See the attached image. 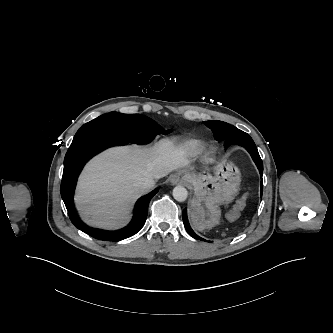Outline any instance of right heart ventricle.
<instances>
[{
  "mask_svg": "<svg viewBox=\"0 0 333 333\" xmlns=\"http://www.w3.org/2000/svg\"><path fill=\"white\" fill-rule=\"evenodd\" d=\"M189 151L197 153L203 149V144L200 141L192 140L186 144Z\"/></svg>",
  "mask_w": 333,
  "mask_h": 333,
  "instance_id": "1",
  "label": "right heart ventricle"
}]
</instances>
